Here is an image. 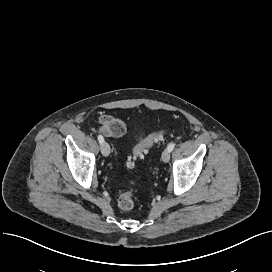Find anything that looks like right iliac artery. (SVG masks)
Here are the masks:
<instances>
[{
  "label": "right iliac artery",
  "mask_w": 272,
  "mask_h": 272,
  "mask_svg": "<svg viewBox=\"0 0 272 272\" xmlns=\"http://www.w3.org/2000/svg\"><path fill=\"white\" fill-rule=\"evenodd\" d=\"M98 141L100 144H102L104 142V138L102 135H98Z\"/></svg>",
  "instance_id": "obj_1"
}]
</instances>
